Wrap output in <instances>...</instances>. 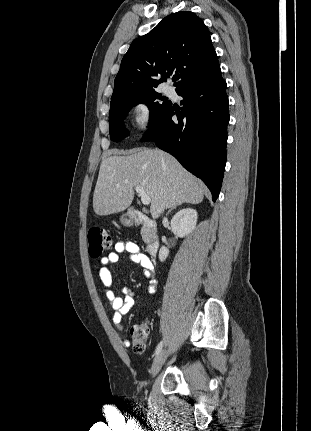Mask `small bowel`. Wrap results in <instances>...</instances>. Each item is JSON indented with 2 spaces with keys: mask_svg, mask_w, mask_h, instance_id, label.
<instances>
[{
  "mask_svg": "<svg viewBox=\"0 0 311 431\" xmlns=\"http://www.w3.org/2000/svg\"><path fill=\"white\" fill-rule=\"evenodd\" d=\"M123 253L127 254L131 262L138 264L141 267L144 275L152 281V286L150 287L151 293L155 292L156 286V281L153 279V264L149 257L142 253L138 245L134 242H117L115 245V251L111 252L100 260L101 268L99 270V277L102 282L105 295L110 303L111 308L113 309L112 323L120 330H123L121 322L122 316L126 315L130 311L136 298V293L129 288L122 289L124 294L123 297L117 296L114 292L113 278L109 269V265L116 263L120 258V254ZM123 345L128 347L130 345V341L124 339Z\"/></svg>",
  "mask_w": 311,
  "mask_h": 431,
  "instance_id": "1",
  "label": "small bowel"
}]
</instances>
